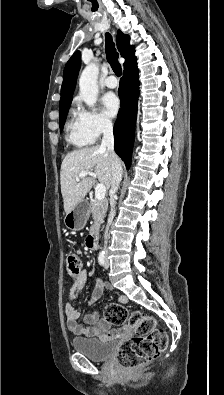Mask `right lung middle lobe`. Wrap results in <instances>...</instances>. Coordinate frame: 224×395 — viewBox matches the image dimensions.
I'll use <instances>...</instances> for the list:
<instances>
[{"label": "right lung middle lobe", "mask_w": 224, "mask_h": 395, "mask_svg": "<svg viewBox=\"0 0 224 395\" xmlns=\"http://www.w3.org/2000/svg\"><path fill=\"white\" fill-rule=\"evenodd\" d=\"M69 107H70V106H67V107H65V108H63V109H61V110H59V125H60V130L63 129L64 122H65V120H66Z\"/></svg>", "instance_id": "dd1d6c3e"}]
</instances>
